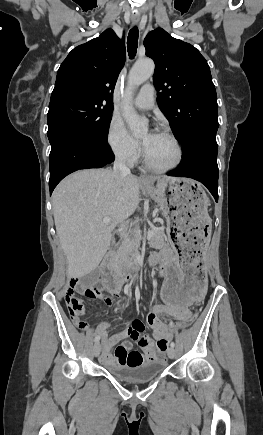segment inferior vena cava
I'll return each mask as SVG.
<instances>
[{
    "label": "inferior vena cava",
    "mask_w": 263,
    "mask_h": 435,
    "mask_svg": "<svg viewBox=\"0 0 263 435\" xmlns=\"http://www.w3.org/2000/svg\"><path fill=\"white\" fill-rule=\"evenodd\" d=\"M112 174L120 182L124 177L131 175L130 169L126 166L125 160L117 158L114 162Z\"/></svg>",
    "instance_id": "602c4592"
}]
</instances>
